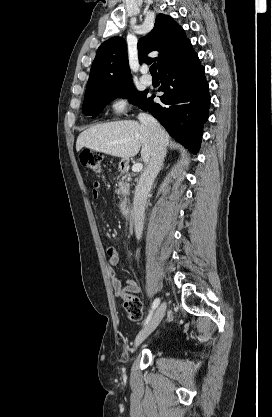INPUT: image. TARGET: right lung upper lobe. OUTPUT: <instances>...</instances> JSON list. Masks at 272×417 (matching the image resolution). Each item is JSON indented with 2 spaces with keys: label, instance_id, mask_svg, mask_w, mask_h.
<instances>
[{
  "label": "right lung upper lobe",
  "instance_id": "obj_1",
  "mask_svg": "<svg viewBox=\"0 0 272 417\" xmlns=\"http://www.w3.org/2000/svg\"><path fill=\"white\" fill-rule=\"evenodd\" d=\"M183 29L167 15L156 17L154 28L138 42L140 61H158V70L188 43ZM158 50L159 56L146 55ZM125 40L113 37L100 45L92 63L85 94L132 85Z\"/></svg>",
  "mask_w": 272,
  "mask_h": 417
}]
</instances>
